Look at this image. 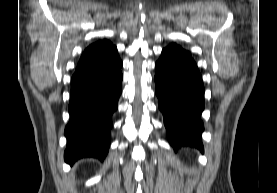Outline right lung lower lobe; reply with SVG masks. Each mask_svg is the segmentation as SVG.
Listing matches in <instances>:
<instances>
[{
	"label": "right lung lower lobe",
	"instance_id": "98d812e1",
	"mask_svg": "<svg viewBox=\"0 0 277 193\" xmlns=\"http://www.w3.org/2000/svg\"><path fill=\"white\" fill-rule=\"evenodd\" d=\"M121 66L116 47L97 60L77 66L71 79L70 121L65 128L66 163L83 157H106L112 114L121 94Z\"/></svg>",
	"mask_w": 277,
	"mask_h": 193
}]
</instances>
